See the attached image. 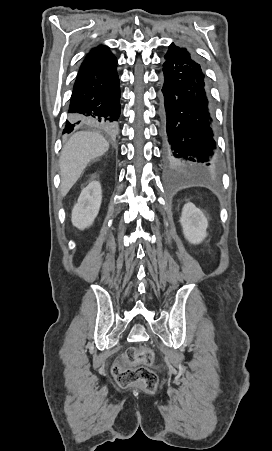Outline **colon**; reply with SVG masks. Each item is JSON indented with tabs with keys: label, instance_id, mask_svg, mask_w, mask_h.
Segmentation results:
<instances>
[{
	"label": "colon",
	"instance_id": "5ec220e1",
	"mask_svg": "<svg viewBox=\"0 0 272 451\" xmlns=\"http://www.w3.org/2000/svg\"><path fill=\"white\" fill-rule=\"evenodd\" d=\"M144 350L131 348L126 354L116 360L114 375L120 385L130 386L139 384L144 386L148 392H155L159 382L157 375L150 370L155 353L154 350H147L149 345H142Z\"/></svg>",
	"mask_w": 272,
	"mask_h": 451
}]
</instances>
